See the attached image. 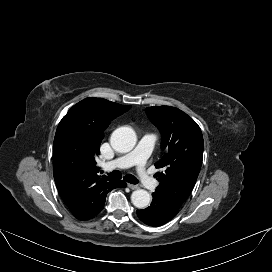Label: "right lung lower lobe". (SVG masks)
I'll return each instance as SVG.
<instances>
[{
    "instance_id": "right-lung-lower-lobe-1",
    "label": "right lung lower lobe",
    "mask_w": 272,
    "mask_h": 272,
    "mask_svg": "<svg viewBox=\"0 0 272 272\" xmlns=\"http://www.w3.org/2000/svg\"><path fill=\"white\" fill-rule=\"evenodd\" d=\"M126 185H127V184H126L124 181H122V180H115L113 189H114V188H125ZM104 203H105V202H104ZM104 203H102V208H101V210L103 209ZM101 210H100V211H101ZM100 211H99V212H100ZM99 212H98V213H99ZM98 213H97V214H98ZM97 214H96V215H97Z\"/></svg>"
}]
</instances>
